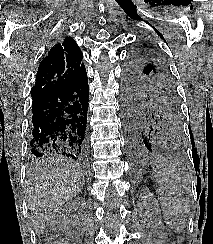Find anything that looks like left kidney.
Returning a JSON list of instances; mask_svg holds the SVG:
<instances>
[{"label":"left kidney","instance_id":"1","mask_svg":"<svg viewBox=\"0 0 213 244\" xmlns=\"http://www.w3.org/2000/svg\"><path fill=\"white\" fill-rule=\"evenodd\" d=\"M154 203V199L152 198L151 194H147V193H142L140 195V206L145 209V210H150L151 209V205ZM149 211H145L143 213V217L145 218L146 216L149 217Z\"/></svg>","mask_w":213,"mask_h":244}]
</instances>
